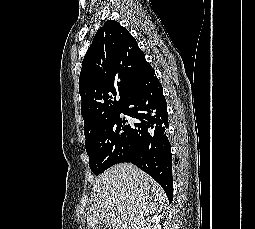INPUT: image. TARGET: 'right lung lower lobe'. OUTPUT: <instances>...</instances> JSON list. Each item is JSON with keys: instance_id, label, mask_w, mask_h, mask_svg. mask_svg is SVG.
I'll use <instances>...</instances> for the list:
<instances>
[{"instance_id": "98d812e1", "label": "right lung lower lobe", "mask_w": 255, "mask_h": 229, "mask_svg": "<svg viewBox=\"0 0 255 229\" xmlns=\"http://www.w3.org/2000/svg\"><path fill=\"white\" fill-rule=\"evenodd\" d=\"M122 113L138 120L132 125V155L124 162L133 163L156 180L171 203L173 180L167 103L151 66L135 80Z\"/></svg>"}]
</instances>
